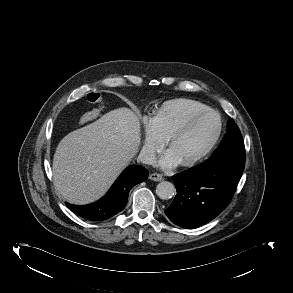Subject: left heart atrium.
<instances>
[{
  "label": "left heart atrium",
  "instance_id": "obj_1",
  "mask_svg": "<svg viewBox=\"0 0 293 293\" xmlns=\"http://www.w3.org/2000/svg\"><path fill=\"white\" fill-rule=\"evenodd\" d=\"M179 163H181L180 160L170 149L167 150L158 161V165L165 169L173 168L177 166Z\"/></svg>",
  "mask_w": 293,
  "mask_h": 293
}]
</instances>
